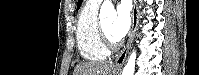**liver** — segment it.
I'll use <instances>...</instances> for the list:
<instances>
[{
    "mask_svg": "<svg viewBox=\"0 0 199 75\" xmlns=\"http://www.w3.org/2000/svg\"><path fill=\"white\" fill-rule=\"evenodd\" d=\"M112 73L115 74L112 63L86 62L76 66L73 75H112Z\"/></svg>",
    "mask_w": 199,
    "mask_h": 75,
    "instance_id": "6515ba94",
    "label": "liver"
}]
</instances>
